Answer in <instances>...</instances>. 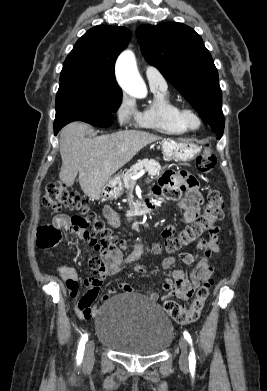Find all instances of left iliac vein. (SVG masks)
I'll return each instance as SVG.
<instances>
[{"label": "left iliac vein", "mask_w": 267, "mask_h": 391, "mask_svg": "<svg viewBox=\"0 0 267 391\" xmlns=\"http://www.w3.org/2000/svg\"><path fill=\"white\" fill-rule=\"evenodd\" d=\"M179 346L181 349V355L179 358L180 368L186 370L188 368V344L184 337H181L179 340Z\"/></svg>", "instance_id": "1"}]
</instances>
